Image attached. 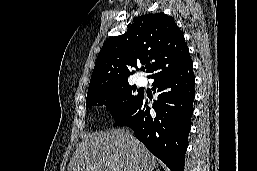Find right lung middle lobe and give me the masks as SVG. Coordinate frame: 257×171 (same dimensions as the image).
I'll return each instance as SVG.
<instances>
[{
	"instance_id": "dd1d6c3e",
	"label": "right lung middle lobe",
	"mask_w": 257,
	"mask_h": 171,
	"mask_svg": "<svg viewBox=\"0 0 257 171\" xmlns=\"http://www.w3.org/2000/svg\"><path fill=\"white\" fill-rule=\"evenodd\" d=\"M135 90L134 86L124 83L89 91L86 98V106L105 105L116 120L127 114L142 96L140 93L135 94Z\"/></svg>"
}]
</instances>
